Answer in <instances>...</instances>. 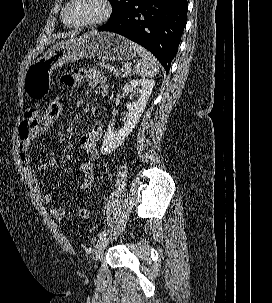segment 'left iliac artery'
<instances>
[{
    "instance_id": "1",
    "label": "left iliac artery",
    "mask_w": 272,
    "mask_h": 303,
    "mask_svg": "<svg viewBox=\"0 0 272 303\" xmlns=\"http://www.w3.org/2000/svg\"><path fill=\"white\" fill-rule=\"evenodd\" d=\"M109 230H103L101 233L98 234V237L101 238L103 236H106L108 234Z\"/></svg>"
}]
</instances>
